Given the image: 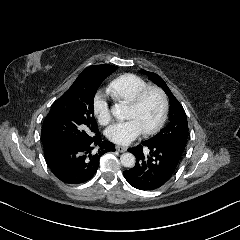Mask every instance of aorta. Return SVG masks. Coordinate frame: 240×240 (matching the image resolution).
I'll list each match as a JSON object with an SVG mask.
<instances>
[{
	"label": "aorta",
	"mask_w": 240,
	"mask_h": 240,
	"mask_svg": "<svg viewBox=\"0 0 240 240\" xmlns=\"http://www.w3.org/2000/svg\"><path fill=\"white\" fill-rule=\"evenodd\" d=\"M114 116L119 119L120 108L116 107L113 110ZM121 164L124 167L132 168L135 166L136 158L132 153H124L120 157Z\"/></svg>",
	"instance_id": "762f6f07"
}]
</instances>
